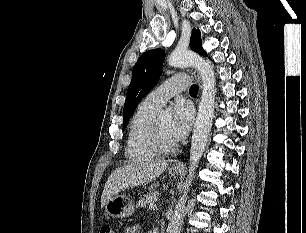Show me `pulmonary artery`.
Returning <instances> with one entry per match:
<instances>
[{
  "mask_svg": "<svg viewBox=\"0 0 306 233\" xmlns=\"http://www.w3.org/2000/svg\"><path fill=\"white\" fill-rule=\"evenodd\" d=\"M189 86V78L185 75H175L151 91L144 99L149 105L160 109L171 97L185 91Z\"/></svg>",
  "mask_w": 306,
  "mask_h": 233,
  "instance_id": "e3ab8cb5",
  "label": "pulmonary artery"
}]
</instances>
